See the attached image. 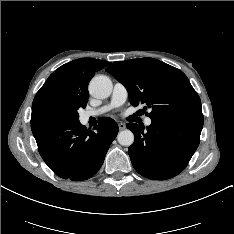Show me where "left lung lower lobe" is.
Returning <instances> with one entry per match:
<instances>
[{
    "instance_id": "0a47b994",
    "label": "left lung lower lobe",
    "mask_w": 234,
    "mask_h": 234,
    "mask_svg": "<svg viewBox=\"0 0 234 234\" xmlns=\"http://www.w3.org/2000/svg\"><path fill=\"white\" fill-rule=\"evenodd\" d=\"M202 112L154 119L146 129L128 123L135 136L128 153L135 170L154 180L178 175L196 151L203 127Z\"/></svg>"
}]
</instances>
